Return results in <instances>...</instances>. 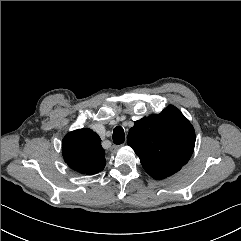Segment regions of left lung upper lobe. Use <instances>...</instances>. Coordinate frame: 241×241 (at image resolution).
Returning a JSON list of instances; mask_svg holds the SVG:
<instances>
[{"instance_id":"5c2ea615","label":"left lung upper lobe","mask_w":241,"mask_h":241,"mask_svg":"<svg viewBox=\"0 0 241 241\" xmlns=\"http://www.w3.org/2000/svg\"><path fill=\"white\" fill-rule=\"evenodd\" d=\"M127 144L154 179L175 174L190 159L195 145L191 123L174 106L144 117L129 130Z\"/></svg>"}]
</instances>
